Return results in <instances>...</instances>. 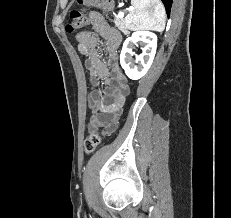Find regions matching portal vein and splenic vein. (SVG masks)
<instances>
[{
  "instance_id": "portal-vein-and-splenic-vein-1",
  "label": "portal vein and splenic vein",
  "mask_w": 231,
  "mask_h": 218,
  "mask_svg": "<svg viewBox=\"0 0 231 218\" xmlns=\"http://www.w3.org/2000/svg\"><path fill=\"white\" fill-rule=\"evenodd\" d=\"M130 10H132V8H130ZM118 18H123L124 17V12L120 11L117 15Z\"/></svg>"
}]
</instances>
